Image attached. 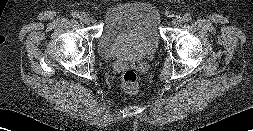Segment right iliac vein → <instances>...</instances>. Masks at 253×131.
<instances>
[{"label":"right iliac vein","mask_w":253,"mask_h":131,"mask_svg":"<svg viewBox=\"0 0 253 131\" xmlns=\"http://www.w3.org/2000/svg\"><path fill=\"white\" fill-rule=\"evenodd\" d=\"M79 18L84 23H89L90 22V17L86 13L81 14Z\"/></svg>","instance_id":"obj_1"}]
</instances>
